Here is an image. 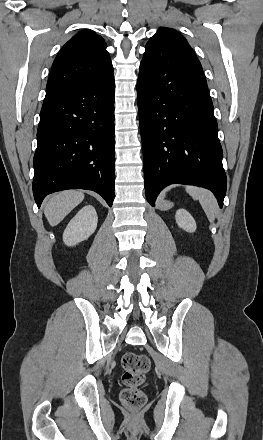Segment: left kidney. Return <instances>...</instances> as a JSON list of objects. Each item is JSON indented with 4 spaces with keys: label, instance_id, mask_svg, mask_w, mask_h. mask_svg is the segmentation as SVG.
Here are the masks:
<instances>
[{
    "label": "left kidney",
    "instance_id": "obj_1",
    "mask_svg": "<svg viewBox=\"0 0 263 440\" xmlns=\"http://www.w3.org/2000/svg\"><path fill=\"white\" fill-rule=\"evenodd\" d=\"M176 223L186 232L193 233L196 230V222L191 214L185 209H179L175 215Z\"/></svg>",
    "mask_w": 263,
    "mask_h": 440
}]
</instances>
